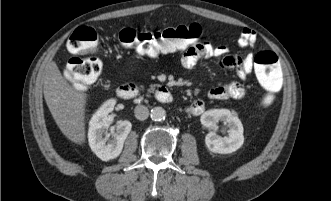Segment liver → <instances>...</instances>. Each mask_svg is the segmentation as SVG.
Returning <instances> with one entry per match:
<instances>
[{"label":"liver","instance_id":"1","mask_svg":"<svg viewBox=\"0 0 331 201\" xmlns=\"http://www.w3.org/2000/svg\"><path fill=\"white\" fill-rule=\"evenodd\" d=\"M43 83L46 104L61 132L76 144L85 143L86 94L65 80L54 61L46 64Z\"/></svg>","mask_w":331,"mask_h":201}]
</instances>
